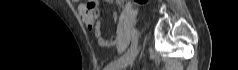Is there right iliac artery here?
Returning a JSON list of instances; mask_svg holds the SVG:
<instances>
[{
    "mask_svg": "<svg viewBox=\"0 0 238 70\" xmlns=\"http://www.w3.org/2000/svg\"><path fill=\"white\" fill-rule=\"evenodd\" d=\"M137 43V40H135L124 56L108 64L104 70H112L118 63L128 58L136 50Z\"/></svg>",
    "mask_w": 238,
    "mask_h": 70,
    "instance_id": "1",
    "label": "right iliac artery"
}]
</instances>
